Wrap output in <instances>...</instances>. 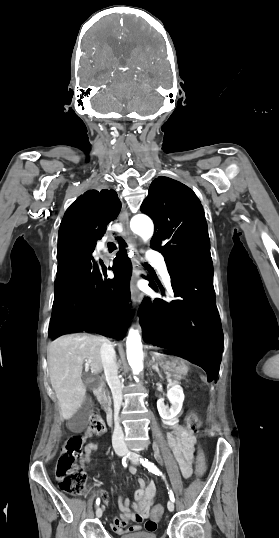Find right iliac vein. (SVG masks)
<instances>
[{
	"instance_id": "1",
	"label": "right iliac vein",
	"mask_w": 279,
	"mask_h": 538,
	"mask_svg": "<svg viewBox=\"0 0 279 538\" xmlns=\"http://www.w3.org/2000/svg\"><path fill=\"white\" fill-rule=\"evenodd\" d=\"M123 454H120V456H122ZM96 516L98 518H100L102 516V509L101 507H98L97 510H96Z\"/></svg>"
}]
</instances>
